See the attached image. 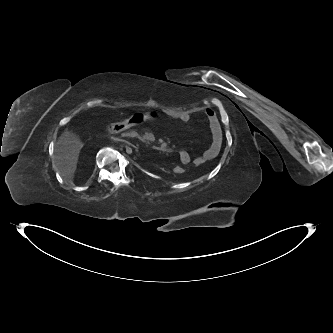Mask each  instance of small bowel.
<instances>
[{
	"instance_id": "c3829d8e",
	"label": "small bowel",
	"mask_w": 333,
	"mask_h": 333,
	"mask_svg": "<svg viewBox=\"0 0 333 333\" xmlns=\"http://www.w3.org/2000/svg\"><path fill=\"white\" fill-rule=\"evenodd\" d=\"M206 116L209 122V126L212 132V142L208 149L199 157L193 160V163L197 166L204 164L205 162L215 158L220 151L222 144V134L217 114L214 110L207 108ZM191 114L188 111H183L174 116L180 122L189 121ZM179 159L181 165H188L191 162V156L186 150L179 151Z\"/></svg>"
}]
</instances>
